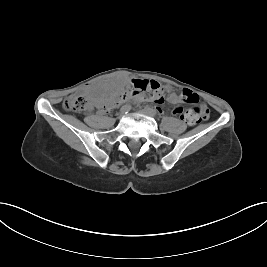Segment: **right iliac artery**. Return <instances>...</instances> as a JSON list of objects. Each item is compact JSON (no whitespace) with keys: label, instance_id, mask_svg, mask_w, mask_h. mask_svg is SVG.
Segmentation results:
<instances>
[{"label":"right iliac artery","instance_id":"right-iliac-artery-1","mask_svg":"<svg viewBox=\"0 0 267 267\" xmlns=\"http://www.w3.org/2000/svg\"><path fill=\"white\" fill-rule=\"evenodd\" d=\"M131 110V106L130 105H125L121 108V113H128Z\"/></svg>","mask_w":267,"mask_h":267}]
</instances>
